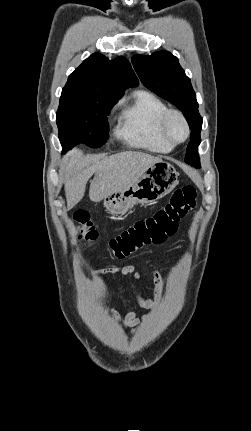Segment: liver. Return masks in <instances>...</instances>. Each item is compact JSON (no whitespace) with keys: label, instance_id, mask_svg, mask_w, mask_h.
I'll use <instances>...</instances> for the list:
<instances>
[{"label":"liver","instance_id":"liver-1","mask_svg":"<svg viewBox=\"0 0 251 431\" xmlns=\"http://www.w3.org/2000/svg\"><path fill=\"white\" fill-rule=\"evenodd\" d=\"M159 161V157L139 151L85 157L81 150H72L63 157L59 170L65 182L67 210L81 201L86 184L93 174L89 198L93 202H100L110 193L126 189L151 164Z\"/></svg>","mask_w":251,"mask_h":431}]
</instances>
